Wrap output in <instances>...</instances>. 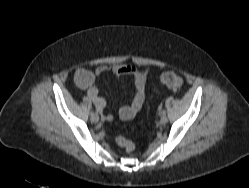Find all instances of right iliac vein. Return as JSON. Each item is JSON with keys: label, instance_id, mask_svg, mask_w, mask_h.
Segmentation results:
<instances>
[{"label": "right iliac vein", "instance_id": "63e3f726", "mask_svg": "<svg viewBox=\"0 0 249 188\" xmlns=\"http://www.w3.org/2000/svg\"><path fill=\"white\" fill-rule=\"evenodd\" d=\"M90 120L93 123H97L99 121V117L97 115H94V116H91Z\"/></svg>", "mask_w": 249, "mask_h": 188}]
</instances>
